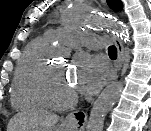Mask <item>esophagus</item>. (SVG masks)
I'll return each mask as SVG.
<instances>
[{"mask_svg":"<svg viewBox=\"0 0 151 131\" xmlns=\"http://www.w3.org/2000/svg\"><path fill=\"white\" fill-rule=\"evenodd\" d=\"M101 3L105 5L106 1L101 0ZM111 38L115 43L118 52L117 61L115 63V74L113 76V79H116L118 72L122 68L125 52H124L123 44L120 41V39L115 35H111ZM66 121L81 131L84 129L86 123V114L83 111H79V110L74 111L66 116Z\"/></svg>","mask_w":151,"mask_h":131,"instance_id":"1","label":"esophagus"}]
</instances>
